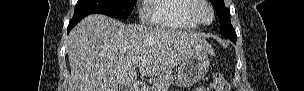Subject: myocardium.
<instances>
[{
	"label": "myocardium",
	"mask_w": 304,
	"mask_h": 91,
	"mask_svg": "<svg viewBox=\"0 0 304 91\" xmlns=\"http://www.w3.org/2000/svg\"><path fill=\"white\" fill-rule=\"evenodd\" d=\"M194 2V7L191 10V16L194 19V21L203 26H208L210 25L215 17L214 9L210 5V3L206 0H193ZM203 10H207L210 14V18L208 20H204L202 18L201 12Z\"/></svg>",
	"instance_id": "obj_1"
}]
</instances>
